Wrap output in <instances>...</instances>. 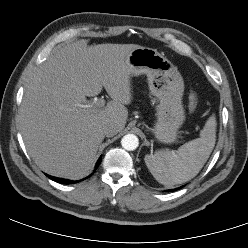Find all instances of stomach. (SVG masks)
<instances>
[{
  "instance_id": "1",
  "label": "stomach",
  "mask_w": 248,
  "mask_h": 248,
  "mask_svg": "<svg viewBox=\"0 0 248 248\" xmlns=\"http://www.w3.org/2000/svg\"><path fill=\"white\" fill-rule=\"evenodd\" d=\"M128 63L132 75L147 76L151 93L160 101L153 128L155 138L161 143H174L185 120L182 104L184 82L177 67L156 49L148 47L133 50Z\"/></svg>"
}]
</instances>
